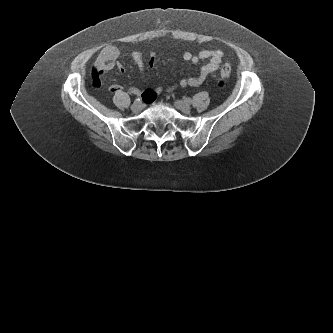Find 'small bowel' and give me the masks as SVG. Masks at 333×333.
<instances>
[{
	"label": "small bowel",
	"instance_id": "obj_1",
	"mask_svg": "<svg viewBox=\"0 0 333 333\" xmlns=\"http://www.w3.org/2000/svg\"><path fill=\"white\" fill-rule=\"evenodd\" d=\"M120 55V50L117 46L109 45L106 46L99 54L98 59L96 60L91 79V84L94 87H99L102 84L101 77L103 73L117 68L119 71H124V68L118 62V58ZM133 63L140 68L142 72H144L145 61L141 53L133 52L131 54ZM183 60L188 63L197 64L200 61H207L205 65H203L198 72L197 76H189L181 79L176 85L171 86L167 89L168 92L173 91L177 86L185 88L188 86L196 87L201 85L204 80L213 72L217 71L220 67L223 58V52L219 49H206L198 54H192L190 52H185L182 56ZM155 57L152 54L149 58V64L152 66L154 64ZM121 87L117 84H113L110 86L109 90L112 93L119 91ZM128 91L131 94L141 95V99L144 102L157 101L160 98V92L162 91L161 87L155 89H147L143 93L136 87H130Z\"/></svg>",
	"mask_w": 333,
	"mask_h": 333
}]
</instances>
